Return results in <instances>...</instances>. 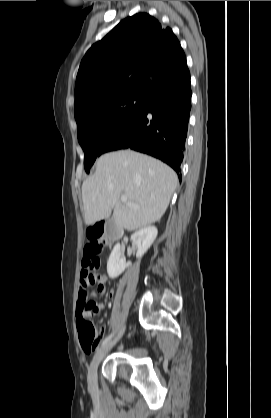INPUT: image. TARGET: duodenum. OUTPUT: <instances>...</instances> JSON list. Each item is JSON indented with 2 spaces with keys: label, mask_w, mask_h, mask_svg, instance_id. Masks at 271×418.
Listing matches in <instances>:
<instances>
[{
  "label": "duodenum",
  "mask_w": 271,
  "mask_h": 418,
  "mask_svg": "<svg viewBox=\"0 0 271 418\" xmlns=\"http://www.w3.org/2000/svg\"><path fill=\"white\" fill-rule=\"evenodd\" d=\"M113 239H116V238H118V234H116V235H113V237H112Z\"/></svg>",
  "instance_id": "obj_1"
}]
</instances>
